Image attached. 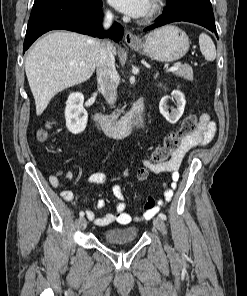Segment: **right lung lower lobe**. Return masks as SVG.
<instances>
[{
  "mask_svg": "<svg viewBox=\"0 0 247 296\" xmlns=\"http://www.w3.org/2000/svg\"><path fill=\"white\" fill-rule=\"evenodd\" d=\"M102 1L37 0L29 18L23 53L42 34L55 29H65L90 36L106 37L118 42L124 33L121 25L114 23L104 32L100 23Z\"/></svg>",
  "mask_w": 247,
  "mask_h": 296,
  "instance_id": "1",
  "label": "right lung lower lobe"
}]
</instances>
